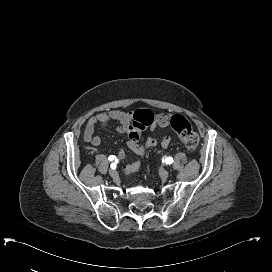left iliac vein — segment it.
Segmentation results:
<instances>
[{
	"mask_svg": "<svg viewBox=\"0 0 272 272\" xmlns=\"http://www.w3.org/2000/svg\"><path fill=\"white\" fill-rule=\"evenodd\" d=\"M160 176H161L163 179H166V178H168V176H169V172H168L167 170H165V169H161V170H160Z\"/></svg>",
	"mask_w": 272,
	"mask_h": 272,
	"instance_id": "1",
	"label": "left iliac vein"
}]
</instances>
